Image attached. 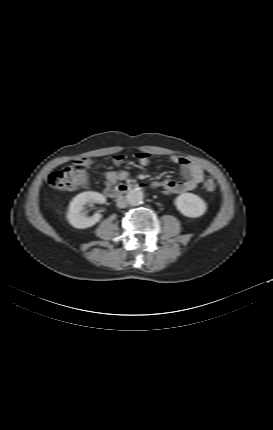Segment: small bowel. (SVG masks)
I'll return each instance as SVG.
<instances>
[{"instance_id":"small-bowel-1","label":"small bowel","mask_w":273,"mask_h":430,"mask_svg":"<svg viewBox=\"0 0 273 430\" xmlns=\"http://www.w3.org/2000/svg\"><path fill=\"white\" fill-rule=\"evenodd\" d=\"M170 160L179 166L181 173L184 177V181H177L174 179H165L160 182H153L152 186L154 188L161 187L166 195L183 193L195 189L204 180V170L201 165L191 162L190 160L177 156L170 155ZM125 160L123 155H115L112 158V163L115 167H120ZM91 159L88 157H82L80 159V164L82 166H88L91 163ZM138 163L146 167L150 163V154L146 152H141L137 154ZM129 173L126 170L119 171H106L104 173V178L107 185H113L119 181L126 180Z\"/></svg>"}]
</instances>
